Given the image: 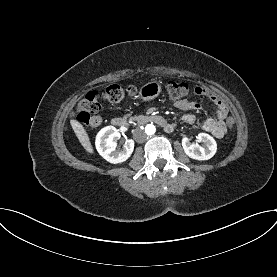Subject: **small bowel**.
Here are the masks:
<instances>
[{"label":"small bowel","mask_w":277,"mask_h":277,"mask_svg":"<svg viewBox=\"0 0 277 277\" xmlns=\"http://www.w3.org/2000/svg\"><path fill=\"white\" fill-rule=\"evenodd\" d=\"M195 94L208 98L215 105L216 119H204L201 122V128L211 133L216 138H222L228 132L224 124V119L228 116L227 105L216 94L206 88L197 87L195 89ZM175 105L177 108L184 111H198L201 109L199 103L190 100L176 102ZM183 120L186 123L193 124L195 122V117L192 114H185Z\"/></svg>","instance_id":"small-bowel-1"}]
</instances>
